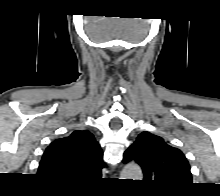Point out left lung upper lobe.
Returning a JSON list of instances; mask_svg holds the SVG:
<instances>
[{
	"label": "left lung upper lobe",
	"instance_id": "obj_1",
	"mask_svg": "<svg viewBox=\"0 0 220 196\" xmlns=\"http://www.w3.org/2000/svg\"><path fill=\"white\" fill-rule=\"evenodd\" d=\"M137 162L144 182L161 193H176L192 184L190 166L184 154L163 138L142 132L125 151L123 162Z\"/></svg>",
	"mask_w": 220,
	"mask_h": 196
}]
</instances>
